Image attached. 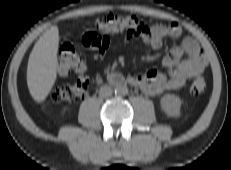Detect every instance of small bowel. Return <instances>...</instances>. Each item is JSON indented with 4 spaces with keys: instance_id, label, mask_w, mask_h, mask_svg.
I'll return each mask as SVG.
<instances>
[{
    "instance_id": "c3829d8e",
    "label": "small bowel",
    "mask_w": 231,
    "mask_h": 170,
    "mask_svg": "<svg viewBox=\"0 0 231 170\" xmlns=\"http://www.w3.org/2000/svg\"><path fill=\"white\" fill-rule=\"evenodd\" d=\"M182 29L178 23L172 22L168 25L154 23L145 27L139 36L144 43L154 49L162 46L166 38L178 39L181 37ZM111 35L99 31L88 32L82 37L84 47L97 50L102 56L111 43ZM131 35H126L129 40ZM165 72L149 70L140 75H128L126 81L138 86L148 95H158L164 91L177 90L181 88L188 79L201 74L207 61L197 42L186 37L182 43L173 48L162 61Z\"/></svg>"
}]
</instances>
